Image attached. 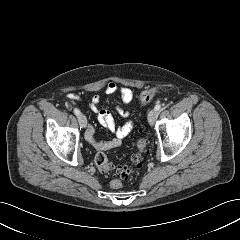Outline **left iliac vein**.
<instances>
[{"label": "left iliac vein", "mask_w": 240, "mask_h": 240, "mask_svg": "<svg viewBox=\"0 0 240 240\" xmlns=\"http://www.w3.org/2000/svg\"><path fill=\"white\" fill-rule=\"evenodd\" d=\"M159 111L152 109L148 113V122L150 125H153L158 117Z\"/></svg>", "instance_id": "1"}]
</instances>
